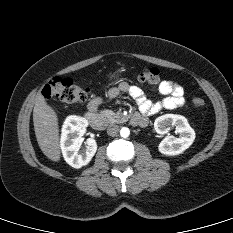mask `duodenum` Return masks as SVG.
I'll use <instances>...</instances> for the list:
<instances>
[{
    "mask_svg": "<svg viewBox=\"0 0 233 233\" xmlns=\"http://www.w3.org/2000/svg\"><path fill=\"white\" fill-rule=\"evenodd\" d=\"M85 118L89 122V124L97 130H102L106 127L107 121L106 119L97 113L96 111L90 110L85 114ZM132 122L137 125L144 126L147 123V119L138 115L133 116Z\"/></svg>",
    "mask_w": 233,
    "mask_h": 233,
    "instance_id": "duodenum-1",
    "label": "duodenum"
}]
</instances>
